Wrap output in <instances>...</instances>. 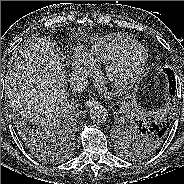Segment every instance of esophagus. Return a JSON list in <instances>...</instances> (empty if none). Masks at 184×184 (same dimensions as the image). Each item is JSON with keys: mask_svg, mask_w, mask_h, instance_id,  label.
<instances>
[{"mask_svg": "<svg viewBox=\"0 0 184 184\" xmlns=\"http://www.w3.org/2000/svg\"><path fill=\"white\" fill-rule=\"evenodd\" d=\"M97 103H98L97 100L92 98L85 102V107H91V106L96 105Z\"/></svg>", "mask_w": 184, "mask_h": 184, "instance_id": "obj_1", "label": "esophagus"}]
</instances>
